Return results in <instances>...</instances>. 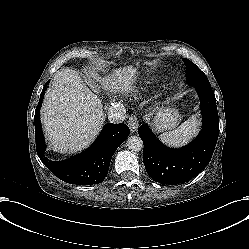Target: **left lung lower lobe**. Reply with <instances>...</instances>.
Returning a JSON list of instances; mask_svg holds the SVG:
<instances>
[{
  "label": "left lung lower lobe",
  "mask_w": 249,
  "mask_h": 249,
  "mask_svg": "<svg viewBox=\"0 0 249 249\" xmlns=\"http://www.w3.org/2000/svg\"><path fill=\"white\" fill-rule=\"evenodd\" d=\"M200 96L203 128L188 146L171 149L162 145L145 124L138 129L143 141V162L155 182L175 185L197 176L210 162L218 135L219 117L211 85L194 84Z\"/></svg>",
  "instance_id": "obj_1"
}]
</instances>
